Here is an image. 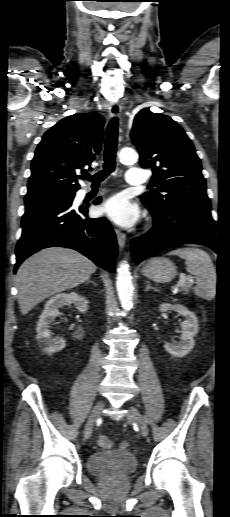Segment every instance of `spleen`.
I'll return each mask as SVG.
<instances>
[{
    "label": "spleen",
    "mask_w": 230,
    "mask_h": 517,
    "mask_svg": "<svg viewBox=\"0 0 230 517\" xmlns=\"http://www.w3.org/2000/svg\"><path fill=\"white\" fill-rule=\"evenodd\" d=\"M168 255H177L185 260L186 270L196 277L194 292L199 297L211 300L216 295V268L210 256L198 248H179Z\"/></svg>",
    "instance_id": "3e777b00"
}]
</instances>
